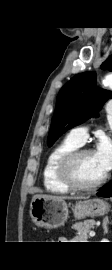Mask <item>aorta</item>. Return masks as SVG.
I'll return each instance as SVG.
<instances>
[{"label": "aorta", "mask_w": 112, "mask_h": 270, "mask_svg": "<svg viewBox=\"0 0 112 270\" xmlns=\"http://www.w3.org/2000/svg\"><path fill=\"white\" fill-rule=\"evenodd\" d=\"M104 85L108 86L109 88L112 89V74H109L105 77L103 81Z\"/></svg>", "instance_id": "762f6f07"}]
</instances>
